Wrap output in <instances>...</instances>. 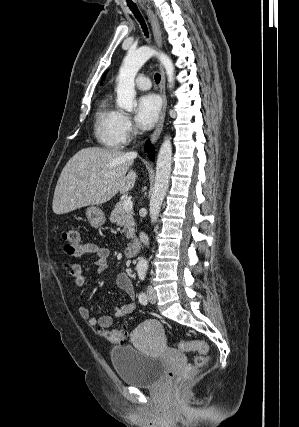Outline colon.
<instances>
[{"mask_svg":"<svg viewBox=\"0 0 299 427\" xmlns=\"http://www.w3.org/2000/svg\"><path fill=\"white\" fill-rule=\"evenodd\" d=\"M62 239L70 245H78L81 239L80 227L72 226L66 229L62 234ZM99 335L118 344L123 343L126 339V333L117 329H101ZM178 349L182 352H198V355L194 359V363L182 366L176 375L174 388L178 392H184L196 375L197 370L203 368L207 364L209 347L202 341L182 340L178 344Z\"/></svg>","mask_w":299,"mask_h":427,"instance_id":"obj_1","label":"colon"}]
</instances>
